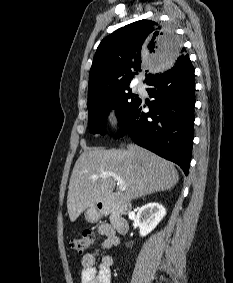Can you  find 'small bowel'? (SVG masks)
Wrapping results in <instances>:
<instances>
[{"mask_svg": "<svg viewBox=\"0 0 233 283\" xmlns=\"http://www.w3.org/2000/svg\"><path fill=\"white\" fill-rule=\"evenodd\" d=\"M98 230L105 239L99 244L94 253H89L82 257L81 283H111L113 258L109 255L104 256L98 270L95 268V262L99 250L114 247L117 244V238L111 226L107 224L100 225Z\"/></svg>", "mask_w": 233, "mask_h": 283, "instance_id": "c3829d8e", "label": "small bowel"}]
</instances>
